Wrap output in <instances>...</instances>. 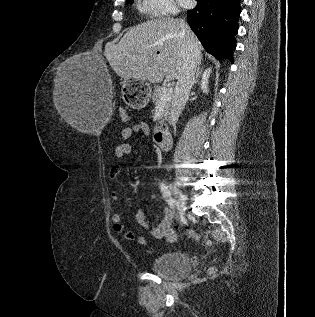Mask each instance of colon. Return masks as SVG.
<instances>
[{
  "instance_id": "5ec220e1",
  "label": "colon",
  "mask_w": 315,
  "mask_h": 317,
  "mask_svg": "<svg viewBox=\"0 0 315 317\" xmlns=\"http://www.w3.org/2000/svg\"><path fill=\"white\" fill-rule=\"evenodd\" d=\"M120 114H121V117H122L123 119H126V118H127V114H126L125 110H121ZM187 235H188L190 238L194 239V240H198V239H199V235H198L195 231H193V230H190V229L187 230ZM176 238H177V232H176V230H172L171 239H172V240H175Z\"/></svg>"
}]
</instances>
